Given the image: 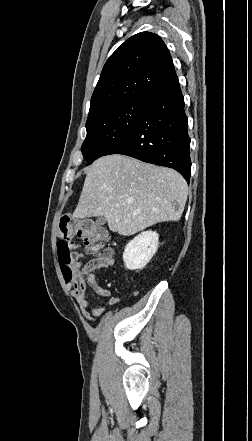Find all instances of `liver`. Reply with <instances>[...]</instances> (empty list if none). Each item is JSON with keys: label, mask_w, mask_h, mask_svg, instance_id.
<instances>
[{"label": "liver", "mask_w": 252, "mask_h": 441, "mask_svg": "<svg viewBox=\"0 0 252 441\" xmlns=\"http://www.w3.org/2000/svg\"><path fill=\"white\" fill-rule=\"evenodd\" d=\"M187 196V183L177 171L107 155L89 167L73 216H103L110 231L130 236L156 223L178 221Z\"/></svg>", "instance_id": "obj_1"}]
</instances>
